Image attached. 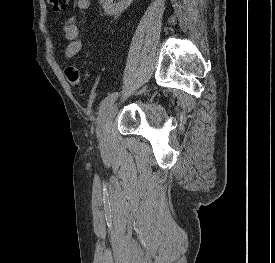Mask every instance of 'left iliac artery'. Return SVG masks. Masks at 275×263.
Listing matches in <instances>:
<instances>
[{
    "instance_id": "left-iliac-artery-1",
    "label": "left iliac artery",
    "mask_w": 275,
    "mask_h": 263,
    "mask_svg": "<svg viewBox=\"0 0 275 263\" xmlns=\"http://www.w3.org/2000/svg\"><path fill=\"white\" fill-rule=\"evenodd\" d=\"M145 89L141 90L144 91ZM120 95L119 92H113L110 95H108L101 103L100 110H99V116H98V124L100 123L103 115L105 112L109 109V107L114 103V101L118 98Z\"/></svg>"
}]
</instances>
